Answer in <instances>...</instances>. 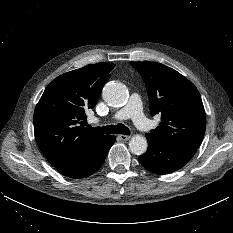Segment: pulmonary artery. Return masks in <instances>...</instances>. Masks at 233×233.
Returning a JSON list of instances; mask_svg holds the SVG:
<instances>
[{"instance_id":"pulmonary-artery-1","label":"pulmonary artery","mask_w":233,"mask_h":233,"mask_svg":"<svg viewBox=\"0 0 233 233\" xmlns=\"http://www.w3.org/2000/svg\"><path fill=\"white\" fill-rule=\"evenodd\" d=\"M132 119L134 124L140 129L148 128V121L142 111V100L137 93H133L127 105L120 109L114 116L115 120Z\"/></svg>"}]
</instances>
